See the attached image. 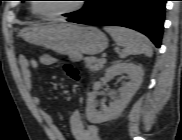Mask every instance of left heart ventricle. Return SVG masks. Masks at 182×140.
<instances>
[{
    "label": "left heart ventricle",
    "instance_id": "1",
    "mask_svg": "<svg viewBox=\"0 0 182 140\" xmlns=\"http://www.w3.org/2000/svg\"><path fill=\"white\" fill-rule=\"evenodd\" d=\"M75 5L73 1L50 0L36 4L37 9L42 14H51L72 8Z\"/></svg>",
    "mask_w": 182,
    "mask_h": 140
}]
</instances>
